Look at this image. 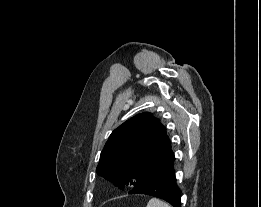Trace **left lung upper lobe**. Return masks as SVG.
Instances as JSON below:
<instances>
[{
	"label": "left lung upper lobe",
	"instance_id": "left-lung-upper-lobe-1",
	"mask_svg": "<svg viewBox=\"0 0 261 207\" xmlns=\"http://www.w3.org/2000/svg\"><path fill=\"white\" fill-rule=\"evenodd\" d=\"M174 160L165 127L151 113L144 112L111 133L96 172L122 189L135 187L166 169Z\"/></svg>",
	"mask_w": 261,
	"mask_h": 207
}]
</instances>
